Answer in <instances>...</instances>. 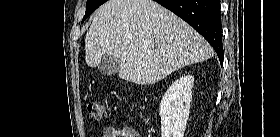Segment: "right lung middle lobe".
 Here are the masks:
<instances>
[{
	"label": "right lung middle lobe",
	"instance_id": "obj_1",
	"mask_svg": "<svg viewBox=\"0 0 280 137\" xmlns=\"http://www.w3.org/2000/svg\"><path fill=\"white\" fill-rule=\"evenodd\" d=\"M107 0H87L86 4V12L85 16L82 20V22L94 11L96 10L100 5L105 3Z\"/></svg>",
	"mask_w": 280,
	"mask_h": 137
}]
</instances>
